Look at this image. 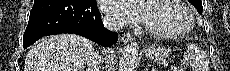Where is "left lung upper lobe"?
Here are the masks:
<instances>
[{"mask_svg":"<svg viewBox=\"0 0 230 71\" xmlns=\"http://www.w3.org/2000/svg\"><path fill=\"white\" fill-rule=\"evenodd\" d=\"M189 2L197 9V11L202 14V1L201 0H189Z\"/></svg>","mask_w":230,"mask_h":71,"instance_id":"obj_1","label":"left lung upper lobe"}]
</instances>
